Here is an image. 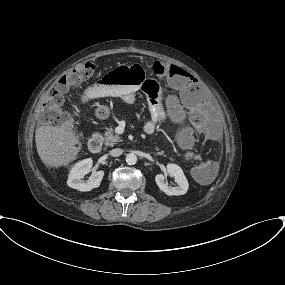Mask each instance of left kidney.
I'll return each mask as SVG.
<instances>
[{"mask_svg":"<svg viewBox=\"0 0 285 285\" xmlns=\"http://www.w3.org/2000/svg\"><path fill=\"white\" fill-rule=\"evenodd\" d=\"M167 173L174 177L177 187L168 186L165 182V176L163 174H157L155 177V181L165 194L172 195H184L189 187L188 181L183 173L181 167L176 164H168L167 165Z\"/></svg>","mask_w":285,"mask_h":285,"instance_id":"obj_1","label":"left kidney"}]
</instances>
